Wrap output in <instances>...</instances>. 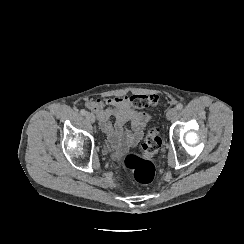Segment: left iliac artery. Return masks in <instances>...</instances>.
I'll return each instance as SVG.
<instances>
[{
  "mask_svg": "<svg viewBox=\"0 0 244 244\" xmlns=\"http://www.w3.org/2000/svg\"><path fill=\"white\" fill-rule=\"evenodd\" d=\"M182 108H183V104H181V103L177 104V106H176L177 110H181Z\"/></svg>",
  "mask_w": 244,
  "mask_h": 244,
  "instance_id": "obj_1",
  "label": "left iliac artery"
}]
</instances>
